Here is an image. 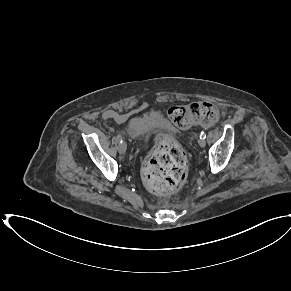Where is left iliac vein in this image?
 Instances as JSON below:
<instances>
[{"label": "left iliac vein", "instance_id": "1", "mask_svg": "<svg viewBox=\"0 0 291 291\" xmlns=\"http://www.w3.org/2000/svg\"><path fill=\"white\" fill-rule=\"evenodd\" d=\"M198 143H199V146L202 148L206 146V141L203 138L199 139Z\"/></svg>", "mask_w": 291, "mask_h": 291}]
</instances>
